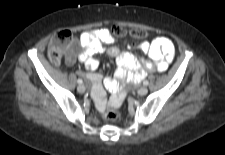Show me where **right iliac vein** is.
<instances>
[{
  "instance_id": "63e3f726",
  "label": "right iliac vein",
  "mask_w": 225,
  "mask_h": 155,
  "mask_svg": "<svg viewBox=\"0 0 225 155\" xmlns=\"http://www.w3.org/2000/svg\"><path fill=\"white\" fill-rule=\"evenodd\" d=\"M77 91L79 93H84L85 92V86L80 84L78 87H77Z\"/></svg>"
}]
</instances>
